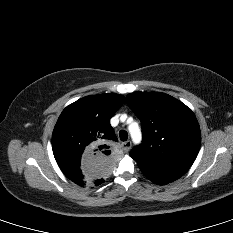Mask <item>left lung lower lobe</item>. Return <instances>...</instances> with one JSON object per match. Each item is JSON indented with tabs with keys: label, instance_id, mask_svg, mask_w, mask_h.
Here are the masks:
<instances>
[{
	"label": "left lung lower lobe",
	"instance_id": "left-lung-lower-lobe-1",
	"mask_svg": "<svg viewBox=\"0 0 233 233\" xmlns=\"http://www.w3.org/2000/svg\"><path fill=\"white\" fill-rule=\"evenodd\" d=\"M142 173L152 182L159 185L170 183L184 175L186 171L173 169H159L138 164Z\"/></svg>",
	"mask_w": 233,
	"mask_h": 233
}]
</instances>
